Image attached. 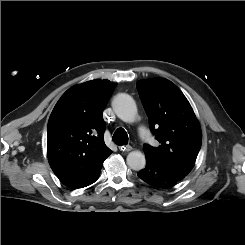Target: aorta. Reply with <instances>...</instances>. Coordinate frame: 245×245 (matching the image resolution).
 Returning a JSON list of instances; mask_svg holds the SVG:
<instances>
[{
	"label": "aorta",
	"instance_id": "aorta-1",
	"mask_svg": "<svg viewBox=\"0 0 245 245\" xmlns=\"http://www.w3.org/2000/svg\"><path fill=\"white\" fill-rule=\"evenodd\" d=\"M113 109L116 115L124 122L132 123L136 119L137 107L134 99L125 93L115 96ZM127 164L132 170H142L145 167L146 159L142 152L132 151L127 156Z\"/></svg>",
	"mask_w": 245,
	"mask_h": 245
}]
</instances>
